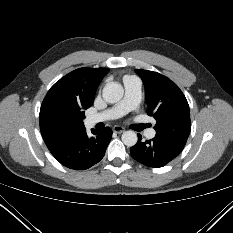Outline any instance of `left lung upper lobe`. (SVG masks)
Masks as SVG:
<instances>
[{
  "mask_svg": "<svg viewBox=\"0 0 233 233\" xmlns=\"http://www.w3.org/2000/svg\"><path fill=\"white\" fill-rule=\"evenodd\" d=\"M145 86L147 114L157 121L156 136L172 143L185 146L191 130L188 102L169 78L153 71L139 70Z\"/></svg>",
  "mask_w": 233,
  "mask_h": 233,
  "instance_id": "1",
  "label": "left lung upper lobe"
}]
</instances>
